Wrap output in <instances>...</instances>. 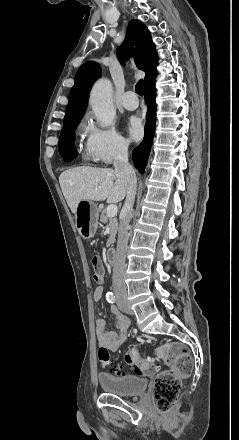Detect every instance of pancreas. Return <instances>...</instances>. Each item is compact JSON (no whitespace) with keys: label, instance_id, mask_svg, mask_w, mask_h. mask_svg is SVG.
Returning <instances> with one entry per match:
<instances>
[{"label":"pancreas","instance_id":"obj_1","mask_svg":"<svg viewBox=\"0 0 239 440\" xmlns=\"http://www.w3.org/2000/svg\"><path fill=\"white\" fill-rule=\"evenodd\" d=\"M100 222H102V224H109L111 234L110 238H108L106 246H112V244L115 242L116 234L118 232V220L115 218V216H113V218L107 216V210H102Z\"/></svg>","mask_w":239,"mask_h":440}]
</instances>
